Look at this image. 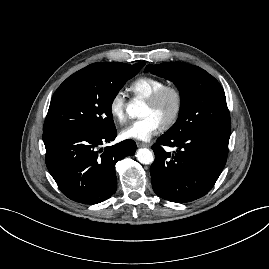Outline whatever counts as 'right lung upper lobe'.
Masks as SVG:
<instances>
[{
    "label": "right lung upper lobe",
    "instance_id": "obj_1",
    "mask_svg": "<svg viewBox=\"0 0 269 269\" xmlns=\"http://www.w3.org/2000/svg\"><path fill=\"white\" fill-rule=\"evenodd\" d=\"M144 65H145L144 62L137 63L134 65L120 63V62H98V63H93L89 66H101V67H126V66H130V67H137V68L141 69Z\"/></svg>",
    "mask_w": 269,
    "mask_h": 269
}]
</instances>
